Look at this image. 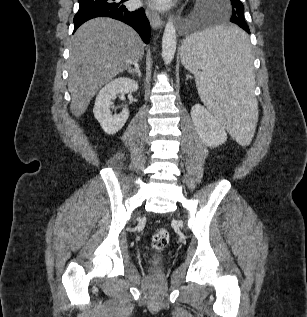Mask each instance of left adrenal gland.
<instances>
[{
	"label": "left adrenal gland",
	"instance_id": "a2214340",
	"mask_svg": "<svg viewBox=\"0 0 307 317\" xmlns=\"http://www.w3.org/2000/svg\"><path fill=\"white\" fill-rule=\"evenodd\" d=\"M189 77H190V76H189V75H187V78H186V79L188 80V78H189Z\"/></svg>",
	"mask_w": 307,
	"mask_h": 317
}]
</instances>
